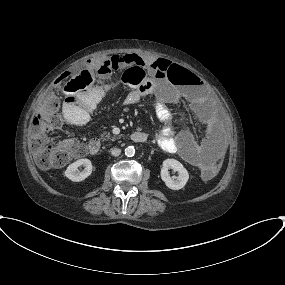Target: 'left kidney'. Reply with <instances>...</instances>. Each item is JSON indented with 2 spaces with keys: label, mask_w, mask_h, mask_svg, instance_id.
<instances>
[{
  "label": "left kidney",
  "mask_w": 285,
  "mask_h": 285,
  "mask_svg": "<svg viewBox=\"0 0 285 285\" xmlns=\"http://www.w3.org/2000/svg\"><path fill=\"white\" fill-rule=\"evenodd\" d=\"M173 169L178 172L176 179H172L169 175L168 169ZM161 179L164 181L165 185L172 190L182 189L188 179L189 174L187 169L175 159H166L163 161V167L161 169Z\"/></svg>",
  "instance_id": "obj_1"
}]
</instances>
